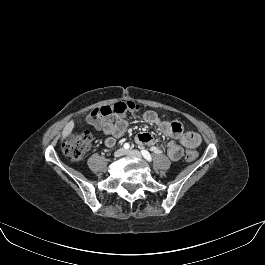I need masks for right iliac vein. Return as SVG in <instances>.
<instances>
[{"mask_svg":"<svg viewBox=\"0 0 265 265\" xmlns=\"http://www.w3.org/2000/svg\"><path fill=\"white\" fill-rule=\"evenodd\" d=\"M124 153H125L124 149L120 148V149L115 151L114 156H115V158H119V157L123 156Z\"/></svg>","mask_w":265,"mask_h":265,"instance_id":"obj_1","label":"right iliac vein"}]
</instances>
